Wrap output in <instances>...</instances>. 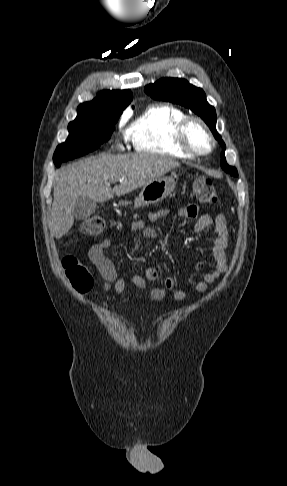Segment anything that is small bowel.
Wrapping results in <instances>:
<instances>
[{
  "mask_svg": "<svg viewBox=\"0 0 287 486\" xmlns=\"http://www.w3.org/2000/svg\"><path fill=\"white\" fill-rule=\"evenodd\" d=\"M170 214L167 208L154 210L148 213L147 220L157 222ZM177 215L181 218L195 221L194 230L203 232L211 226H214L216 235L212 240L211 262L212 268L206 272L203 277L196 282L195 289L198 292H205L208 286L215 282L221 275L227 271V258L225 250L228 246V225L224 215L219 214L215 218L207 213L200 214L197 206L188 205L180 208ZM132 232H141L147 239H156L158 234L155 228L148 226L145 219H139L131 223ZM112 241L105 238L91 246L88 252L90 261L99 271L104 280L106 290L113 289L116 293L121 294L126 287V281L123 276H119L112 261L105 255V251L111 246ZM159 278V271L155 267L146 268L142 274L132 276V283L139 289H146L148 281H155ZM175 287V280L172 277L165 278L161 287L152 288L149 291L151 299L160 301L165 298L168 291ZM187 297L186 289H178L172 293L174 301H182Z\"/></svg>",
  "mask_w": 287,
  "mask_h": 486,
  "instance_id": "c3829d8e",
  "label": "small bowel"
}]
</instances>
